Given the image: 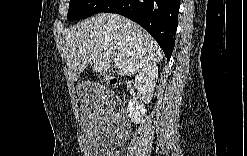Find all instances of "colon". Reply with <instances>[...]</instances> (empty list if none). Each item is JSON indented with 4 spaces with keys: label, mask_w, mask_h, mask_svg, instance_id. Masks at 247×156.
Wrapping results in <instances>:
<instances>
[{
    "label": "colon",
    "mask_w": 247,
    "mask_h": 156,
    "mask_svg": "<svg viewBox=\"0 0 247 156\" xmlns=\"http://www.w3.org/2000/svg\"><path fill=\"white\" fill-rule=\"evenodd\" d=\"M106 81L108 84H110L112 86H117L119 84L118 80L116 78H113V77H106Z\"/></svg>",
    "instance_id": "5ec220e1"
}]
</instances>
